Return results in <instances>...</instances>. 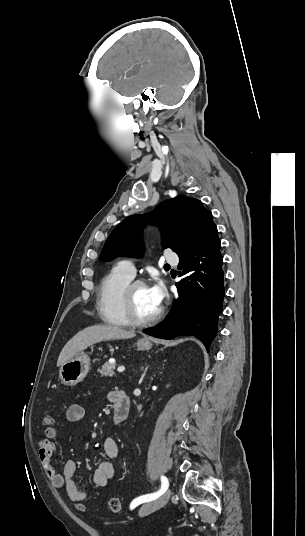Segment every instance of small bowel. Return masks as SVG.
I'll return each instance as SVG.
<instances>
[{
    "label": "small bowel",
    "instance_id": "small-bowel-1",
    "mask_svg": "<svg viewBox=\"0 0 305 536\" xmlns=\"http://www.w3.org/2000/svg\"><path fill=\"white\" fill-rule=\"evenodd\" d=\"M113 394L114 392H111L108 396L110 401H112ZM85 415L86 409L80 404H73L66 411V419L74 424L80 423L85 418ZM57 434L58 431L54 426H48L45 429L44 438L39 443L38 455L43 465V469L50 478L52 485L57 489L64 488L69 499L71 495H82L85 500L87 496L85 485L78 486L75 481L78 462L75 460H68L63 466L62 473H59L53 464V457L57 451ZM100 448L108 458H117L118 446L113 438H104L100 443ZM114 476L115 467L113 463L104 460L99 462L95 469L93 482L99 487H104L112 481Z\"/></svg>",
    "mask_w": 305,
    "mask_h": 536
}]
</instances>
